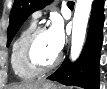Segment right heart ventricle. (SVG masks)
<instances>
[{
  "label": "right heart ventricle",
  "mask_w": 107,
  "mask_h": 89,
  "mask_svg": "<svg viewBox=\"0 0 107 89\" xmlns=\"http://www.w3.org/2000/svg\"><path fill=\"white\" fill-rule=\"evenodd\" d=\"M36 28V21H30L15 38L12 48H11V66L15 75L21 79H32L38 74L29 71L23 64L22 52L24 44L31 34V32Z\"/></svg>",
  "instance_id": "right-heart-ventricle-1"
}]
</instances>
